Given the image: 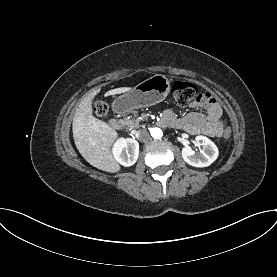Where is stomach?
Listing matches in <instances>:
<instances>
[{
	"label": "stomach",
	"instance_id": "stomach-1",
	"mask_svg": "<svg viewBox=\"0 0 277 277\" xmlns=\"http://www.w3.org/2000/svg\"><path fill=\"white\" fill-rule=\"evenodd\" d=\"M169 91V79L165 75L156 74L116 98L112 108L118 113H126L133 109L149 107L163 101Z\"/></svg>",
	"mask_w": 277,
	"mask_h": 277
}]
</instances>
